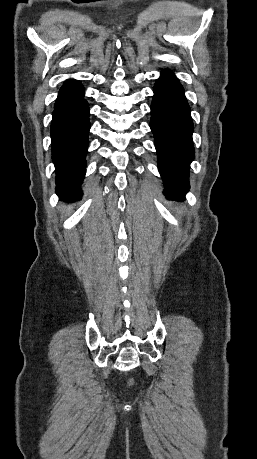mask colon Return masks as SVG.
<instances>
[{
    "instance_id": "5ec220e1",
    "label": "colon",
    "mask_w": 257,
    "mask_h": 459,
    "mask_svg": "<svg viewBox=\"0 0 257 459\" xmlns=\"http://www.w3.org/2000/svg\"><path fill=\"white\" fill-rule=\"evenodd\" d=\"M128 386H132L133 385V381L132 380H128Z\"/></svg>"
}]
</instances>
